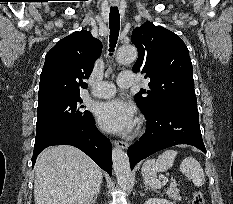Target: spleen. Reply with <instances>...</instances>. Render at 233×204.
<instances>
[{"label": "spleen", "mask_w": 233, "mask_h": 204, "mask_svg": "<svg viewBox=\"0 0 233 204\" xmlns=\"http://www.w3.org/2000/svg\"><path fill=\"white\" fill-rule=\"evenodd\" d=\"M178 152L172 149L164 151L157 159H148L142 166L144 183L151 189L157 190L162 183L157 178V172H164L173 166ZM180 172L192 179L195 186L201 187L205 183V176L200 163L193 157H186L180 164Z\"/></svg>", "instance_id": "spleen-1"}]
</instances>
